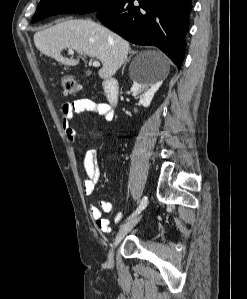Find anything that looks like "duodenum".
<instances>
[{"label": "duodenum", "mask_w": 247, "mask_h": 299, "mask_svg": "<svg viewBox=\"0 0 247 299\" xmlns=\"http://www.w3.org/2000/svg\"><path fill=\"white\" fill-rule=\"evenodd\" d=\"M105 96L111 106H116L119 101V84L117 80L110 78L102 83Z\"/></svg>", "instance_id": "1"}]
</instances>
